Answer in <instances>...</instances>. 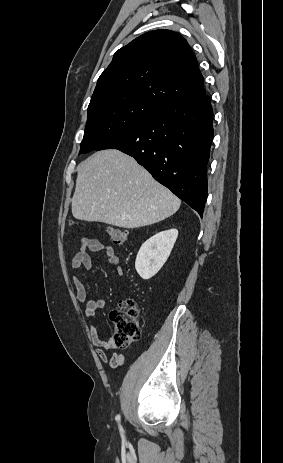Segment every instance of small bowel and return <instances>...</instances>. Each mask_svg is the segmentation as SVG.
Segmentation results:
<instances>
[{
	"mask_svg": "<svg viewBox=\"0 0 283 463\" xmlns=\"http://www.w3.org/2000/svg\"><path fill=\"white\" fill-rule=\"evenodd\" d=\"M88 251L104 254L107 258L105 264L113 267L117 275L122 276L124 274L123 268L120 265L119 257L115 254L113 247L105 245L99 240L92 238L82 239L79 250L71 260L72 269L78 270L81 267H84L87 270H93L96 268L97 263L91 259ZM73 284L77 300L81 303H85L86 316L93 319L96 316L97 311L105 307V298L99 297L97 299H87L86 287L77 276L73 277ZM89 337L96 348L97 356L103 363L109 365L111 368H118L125 363V357L121 353L114 352L111 356L106 354V350H114L117 346L111 337L102 339L95 324L90 325Z\"/></svg>",
	"mask_w": 283,
	"mask_h": 463,
	"instance_id": "small-bowel-1",
	"label": "small bowel"
}]
</instances>
